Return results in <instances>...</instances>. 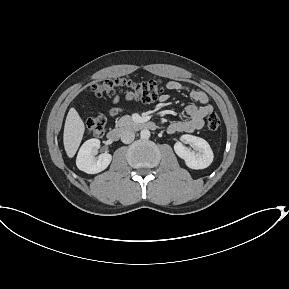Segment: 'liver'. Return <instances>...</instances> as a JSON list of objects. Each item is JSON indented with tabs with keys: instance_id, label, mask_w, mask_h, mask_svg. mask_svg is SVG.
<instances>
[{
	"instance_id": "liver-1",
	"label": "liver",
	"mask_w": 289,
	"mask_h": 289,
	"mask_svg": "<svg viewBox=\"0 0 289 289\" xmlns=\"http://www.w3.org/2000/svg\"><path fill=\"white\" fill-rule=\"evenodd\" d=\"M85 132V125L75 108H70L64 126L63 143L66 154L72 158L77 152Z\"/></svg>"
}]
</instances>
